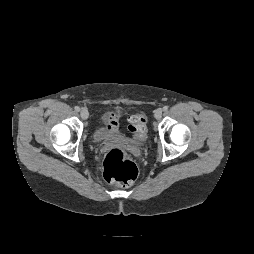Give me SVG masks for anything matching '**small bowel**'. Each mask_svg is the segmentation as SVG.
<instances>
[{"label": "small bowel", "instance_id": "small-bowel-1", "mask_svg": "<svg viewBox=\"0 0 254 254\" xmlns=\"http://www.w3.org/2000/svg\"><path fill=\"white\" fill-rule=\"evenodd\" d=\"M130 116L128 118V121L130 122L131 120ZM103 123L106 126V128L110 131H117L120 128L121 125V115L117 112H107L104 116H103Z\"/></svg>", "mask_w": 254, "mask_h": 254}]
</instances>
